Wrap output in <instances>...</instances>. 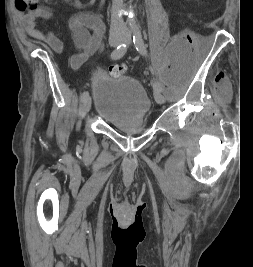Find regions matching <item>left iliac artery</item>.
<instances>
[{
  "instance_id": "44dca946",
  "label": "left iliac artery",
  "mask_w": 253,
  "mask_h": 267,
  "mask_svg": "<svg viewBox=\"0 0 253 267\" xmlns=\"http://www.w3.org/2000/svg\"><path fill=\"white\" fill-rule=\"evenodd\" d=\"M133 43L136 47V50L140 54H142L144 56L147 55L146 45L143 41L141 32L138 28L134 30ZM152 86H153V89H157L159 91H162V87L160 86V84L158 82L152 81Z\"/></svg>"
}]
</instances>
